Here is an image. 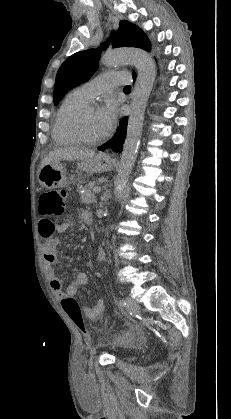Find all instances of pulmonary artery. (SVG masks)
<instances>
[{
	"label": "pulmonary artery",
	"mask_w": 231,
	"mask_h": 419,
	"mask_svg": "<svg viewBox=\"0 0 231 419\" xmlns=\"http://www.w3.org/2000/svg\"><path fill=\"white\" fill-rule=\"evenodd\" d=\"M128 83V75L123 72H107L82 84L78 90L89 100L111 91L116 86Z\"/></svg>",
	"instance_id": "1"
}]
</instances>
